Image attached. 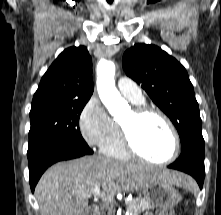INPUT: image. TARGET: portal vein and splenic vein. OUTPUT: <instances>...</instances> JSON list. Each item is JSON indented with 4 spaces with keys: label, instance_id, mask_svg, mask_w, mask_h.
Here are the masks:
<instances>
[{
    "label": "portal vein and splenic vein",
    "instance_id": "18ae733b",
    "mask_svg": "<svg viewBox=\"0 0 221 215\" xmlns=\"http://www.w3.org/2000/svg\"><path fill=\"white\" fill-rule=\"evenodd\" d=\"M95 193H97V194H98V193H99V190H98V189H96V190H95ZM106 199H111V197H106ZM126 215H128V214H126Z\"/></svg>",
    "mask_w": 221,
    "mask_h": 215
}]
</instances>
